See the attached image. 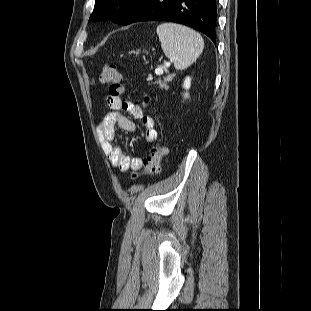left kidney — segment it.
Masks as SVG:
<instances>
[{
  "label": "left kidney",
  "mask_w": 311,
  "mask_h": 311,
  "mask_svg": "<svg viewBox=\"0 0 311 311\" xmlns=\"http://www.w3.org/2000/svg\"><path fill=\"white\" fill-rule=\"evenodd\" d=\"M190 86H191V79L190 77H186L183 83V88L188 90ZM184 97L188 98V93H185Z\"/></svg>",
  "instance_id": "1"
}]
</instances>
